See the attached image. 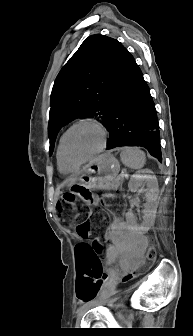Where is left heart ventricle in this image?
Returning a JSON list of instances; mask_svg holds the SVG:
<instances>
[{"label":"left heart ventricle","mask_w":193,"mask_h":336,"mask_svg":"<svg viewBox=\"0 0 193 336\" xmlns=\"http://www.w3.org/2000/svg\"><path fill=\"white\" fill-rule=\"evenodd\" d=\"M102 143V134L94 126L83 124L73 129L66 141L68 154L74 159H81L94 153Z\"/></svg>","instance_id":"1"}]
</instances>
